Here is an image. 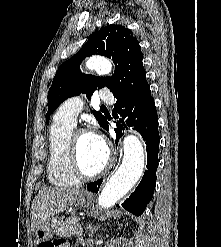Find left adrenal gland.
<instances>
[{
  "label": "left adrenal gland",
  "mask_w": 221,
  "mask_h": 247,
  "mask_svg": "<svg viewBox=\"0 0 221 247\" xmlns=\"http://www.w3.org/2000/svg\"><path fill=\"white\" fill-rule=\"evenodd\" d=\"M97 228H98V226L96 227V226H93L92 224H90L89 226H88V231H89V236H93V234H94V232L97 230Z\"/></svg>",
  "instance_id": "1"
}]
</instances>
